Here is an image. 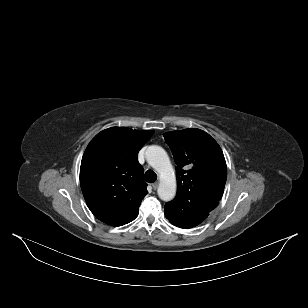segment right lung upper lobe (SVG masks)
Instances as JSON below:
<instances>
[{
    "instance_id": "obj_1",
    "label": "right lung upper lobe",
    "mask_w": 308,
    "mask_h": 308,
    "mask_svg": "<svg viewBox=\"0 0 308 308\" xmlns=\"http://www.w3.org/2000/svg\"><path fill=\"white\" fill-rule=\"evenodd\" d=\"M153 131L111 127L97 134L81 161L80 184L91 212L102 222L121 226L134 220L147 195L138 152Z\"/></svg>"
}]
</instances>
